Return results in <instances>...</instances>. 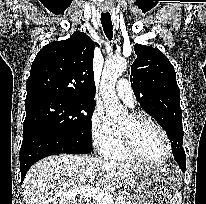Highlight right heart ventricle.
I'll return each mask as SVG.
<instances>
[{"label":"right heart ventricle","instance_id":"1","mask_svg":"<svg viewBox=\"0 0 206 204\" xmlns=\"http://www.w3.org/2000/svg\"><path fill=\"white\" fill-rule=\"evenodd\" d=\"M103 155L114 161H123V162H134L136 161L135 158H133L130 154L127 153L125 150L120 133L118 128H115V136L112 141V143L108 146V148L105 149L103 152Z\"/></svg>","mask_w":206,"mask_h":204}]
</instances>
